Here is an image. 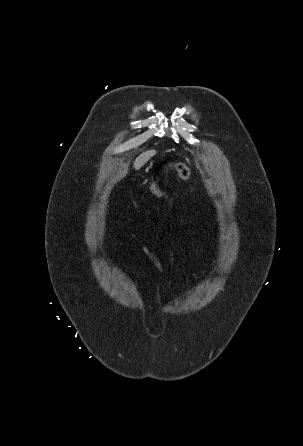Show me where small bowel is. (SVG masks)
Returning a JSON list of instances; mask_svg holds the SVG:
<instances>
[{
	"mask_svg": "<svg viewBox=\"0 0 303 446\" xmlns=\"http://www.w3.org/2000/svg\"><path fill=\"white\" fill-rule=\"evenodd\" d=\"M138 247L150 258V260L152 261V263H153L154 267L157 269V271L161 275H165L166 267L162 263V261L159 259L158 255L150 247H148L144 244H140V245H138ZM201 253H202V250L198 249L196 252L197 258H199L201 256ZM170 265L171 266L175 265V252H171V254H170Z\"/></svg>",
	"mask_w": 303,
	"mask_h": 446,
	"instance_id": "obj_1",
	"label": "small bowel"
}]
</instances>
